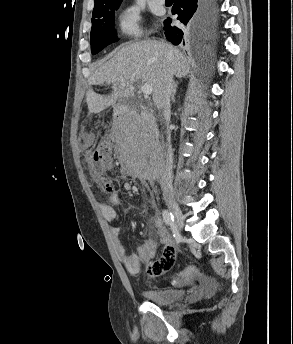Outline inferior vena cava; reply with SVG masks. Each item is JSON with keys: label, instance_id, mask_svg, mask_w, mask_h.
<instances>
[{"label": "inferior vena cava", "instance_id": "obj_1", "mask_svg": "<svg viewBox=\"0 0 293 344\" xmlns=\"http://www.w3.org/2000/svg\"><path fill=\"white\" fill-rule=\"evenodd\" d=\"M173 75L170 71H167L164 77L163 84L159 90L158 98L156 100V106L163 111L165 124L167 125V142L163 144L165 164L162 168L160 185L162 188L164 197H173L172 187V167H173V152L171 147V134L168 129L171 117L170 110V97L173 90Z\"/></svg>", "mask_w": 293, "mask_h": 344}]
</instances>
